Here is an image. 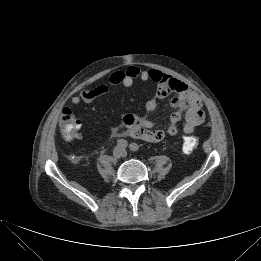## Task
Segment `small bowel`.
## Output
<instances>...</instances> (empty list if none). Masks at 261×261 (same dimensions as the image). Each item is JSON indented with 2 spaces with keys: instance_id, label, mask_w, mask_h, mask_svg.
I'll list each match as a JSON object with an SVG mask.
<instances>
[{
  "instance_id": "c3829d8e",
  "label": "small bowel",
  "mask_w": 261,
  "mask_h": 261,
  "mask_svg": "<svg viewBox=\"0 0 261 261\" xmlns=\"http://www.w3.org/2000/svg\"><path fill=\"white\" fill-rule=\"evenodd\" d=\"M136 80L156 83L155 95L145 105L147 113H153L157 109L158 100L164 99L170 94H174L170 101L174 111L170 115L164 130H155L154 120L147 116L127 114L122 123L112 129L113 136H128L146 142H160L167 136L177 135L182 120H184L182 128L185 134H191L197 126L204 122L206 115L199 95L184 82L156 69L142 70L136 66H129L124 70H116L109 76L107 84L85 89L79 95L74 96L71 102L73 105L91 103L97 98L105 97L109 92V86L123 85L130 87ZM74 138L80 139L81 134L76 132Z\"/></svg>"
}]
</instances>
